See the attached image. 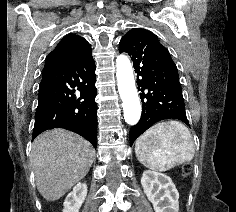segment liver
I'll return each instance as SVG.
<instances>
[{
	"label": "liver",
	"mask_w": 236,
	"mask_h": 212,
	"mask_svg": "<svg viewBox=\"0 0 236 212\" xmlns=\"http://www.w3.org/2000/svg\"><path fill=\"white\" fill-rule=\"evenodd\" d=\"M93 146L81 136L64 129L40 134L30 155L39 193L56 201L82 180L94 161Z\"/></svg>",
	"instance_id": "1"
}]
</instances>
